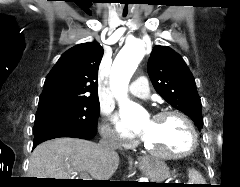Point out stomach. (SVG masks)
Returning <instances> with one entry per match:
<instances>
[{
  "mask_svg": "<svg viewBox=\"0 0 240 187\" xmlns=\"http://www.w3.org/2000/svg\"><path fill=\"white\" fill-rule=\"evenodd\" d=\"M143 172L151 179L152 182L162 183L170 176L167 164L156 158H147L140 165Z\"/></svg>",
  "mask_w": 240,
  "mask_h": 187,
  "instance_id": "stomach-1",
  "label": "stomach"
}]
</instances>
